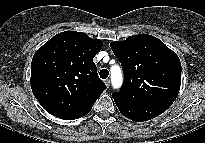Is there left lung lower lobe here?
I'll list each match as a JSON object with an SVG mask.
<instances>
[{
    "instance_id": "obj_1",
    "label": "left lung lower lobe",
    "mask_w": 205,
    "mask_h": 143,
    "mask_svg": "<svg viewBox=\"0 0 205 143\" xmlns=\"http://www.w3.org/2000/svg\"><path fill=\"white\" fill-rule=\"evenodd\" d=\"M114 99V98H113ZM119 111L127 118L136 121H147L165 112L170 106V103L151 104L144 106H133L122 103L114 99Z\"/></svg>"
}]
</instances>
